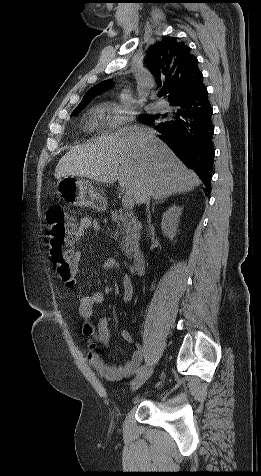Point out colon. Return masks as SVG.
Instances as JSON below:
<instances>
[{
	"label": "colon",
	"instance_id": "1",
	"mask_svg": "<svg viewBox=\"0 0 261 476\" xmlns=\"http://www.w3.org/2000/svg\"><path fill=\"white\" fill-rule=\"evenodd\" d=\"M48 223L47 250L49 258L60 279L67 286L75 283V267L71 263L72 243L77 230L60 205H52L46 212Z\"/></svg>",
	"mask_w": 261,
	"mask_h": 476
}]
</instances>
